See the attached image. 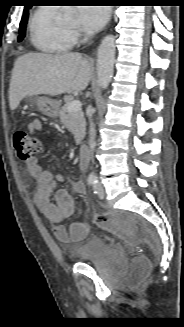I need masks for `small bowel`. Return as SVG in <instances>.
<instances>
[{
    "label": "small bowel",
    "instance_id": "1",
    "mask_svg": "<svg viewBox=\"0 0 184 327\" xmlns=\"http://www.w3.org/2000/svg\"><path fill=\"white\" fill-rule=\"evenodd\" d=\"M28 131L37 134L42 129L40 118H34L29 122ZM27 171L36 181L37 188L33 194V201L41 213L51 222L55 237L60 241H77L85 238L89 226L86 222L77 221L65 227L60 223L70 217L74 211V202L65 189H56L59 182L63 180L61 175L54 174L50 170L43 169L38 161L33 158L26 164ZM77 192L85 191V185L77 182ZM53 195V201H52Z\"/></svg>",
    "mask_w": 184,
    "mask_h": 327
}]
</instances>
